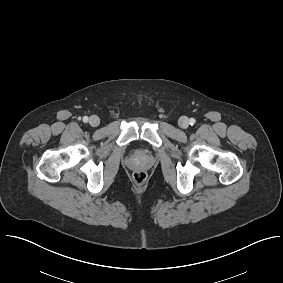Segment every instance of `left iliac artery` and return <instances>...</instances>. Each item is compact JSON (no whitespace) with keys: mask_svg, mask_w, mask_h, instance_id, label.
Here are the masks:
<instances>
[{"mask_svg":"<svg viewBox=\"0 0 283 283\" xmlns=\"http://www.w3.org/2000/svg\"><path fill=\"white\" fill-rule=\"evenodd\" d=\"M196 122V120L194 118H190L189 123L190 125H194Z\"/></svg>","mask_w":283,"mask_h":283,"instance_id":"obj_1","label":"left iliac artery"}]
</instances>
